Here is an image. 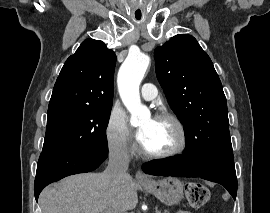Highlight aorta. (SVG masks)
<instances>
[{"label":"aorta","mask_w":270,"mask_h":213,"mask_svg":"<svg viewBox=\"0 0 270 213\" xmlns=\"http://www.w3.org/2000/svg\"><path fill=\"white\" fill-rule=\"evenodd\" d=\"M150 64V57L144 53L129 54L118 72V89L121 99L131 113L130 123L137 126L150 117V111L142 105L139 86Z\"/></svg>","instance_id":"obj_1"}]
</instances>
